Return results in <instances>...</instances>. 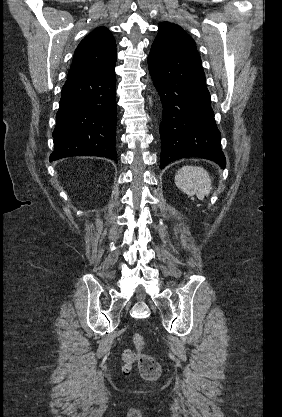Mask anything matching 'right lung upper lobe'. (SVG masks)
Listing matches in <instances>:
<instances>
[{"label":"right lung upper lobe","mask_w":282,"mask_h":417,"mask_svg":"<svg viewBox=\"0 0 282 417\" xmlns=\"http://www.w3.org/2000/svg\"><path fill=\"white\" fill-rule=\"evenodd\" d=\"M115 62L114 37L107 28H96L78 45L68 72V78L85 74L102 66H110Z\"/></svg>","instance_id":"obj_1"}]
</instances>
